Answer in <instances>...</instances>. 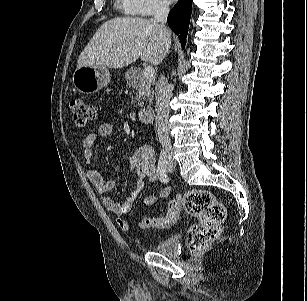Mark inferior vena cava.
Returning a JSON list of instances; mask_svg holds the SVG:
<instances>
[{
    "label": "inferior vena cava",
    "instance_id": "obj_1",
    "mask_svg": "<svg viewBox=\"0 0 307 301\" xmlns=\"http://www.w3.org/2000/svg\"><path fill=\"white\" fill-rule=\"evenodd\" d=\"M169 5L160 2L155 10L154 19L160 24L163 35L166 38L170 37V33L166 27V20L169 13ZM172 96V91L167 84L164 75H161L155 86L156 99V129L159 142L162 148L167 152H171L172 146L169 138L168 119H169V103Z\"/></svg>",
    "mask_w": 307,
    "mask_h": 301
}]
</instances>
